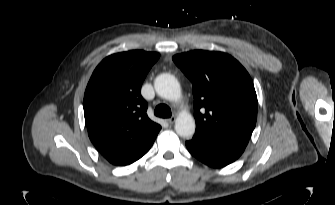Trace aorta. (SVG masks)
<instances>
[{
  "label": "aorta",
  "mask_w": 335,
  "mask_h": 205,
  "mask_svg": "<svg viewBox=\"0 0 335 205\" xmlns=\"http://www.w3.org/2000/svg\"><path fill=\"white\" fill-rule=\"evenodd\" d=\"M157 94L170 101H177L181 97V87L175 76L163 73L154 82ZM176 133L183 138H191L195 132V120L191 114L181 112L175 121Z\"/></svg>",
  "instance_id": "aorta-1"
}]
</instances>
